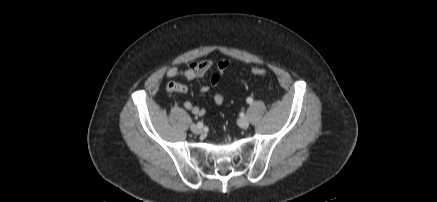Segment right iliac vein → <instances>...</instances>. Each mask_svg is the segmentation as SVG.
<instances>
[{"mask_svg": "<svg viewBox=\"0 0 437 202\" xmlns=\"http://www.w3.org/2000/svg\"><path fill=\"white\" fill-rule=\"evenodd\" d=\"M191 130H192V132L195 133V134H201V133H203V129H202V127H198V126L195 125V124H193V125L191 126Z\"/></svg>", "mask_w": 437, "mask_h": 202, "instance_id": "obj_1", "label": "right iliac vein"}]
</instances>
